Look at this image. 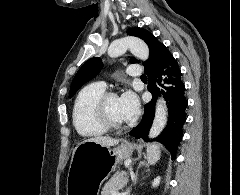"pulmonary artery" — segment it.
<instances>
[{"label":"pulmonary artery","instance_id":"e3ab8cb5","mask_svg":"<svg viewBox=\"0 0 240 195\" xmlns=\"http://www.w3.org/2000/svg\"><path fill=\"white\" fill-rule=\"evenodd\" d=\"M129 70L126 74L132 76V78H139L141 73V67L139 65H130Z\"/></svg>","mask_w":240,"mask_h":195}]
</instances>
